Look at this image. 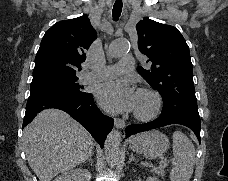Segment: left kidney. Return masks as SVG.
I'll return each instance as SVG.
<instances>
[{
    "mask_svg": "<svg viewBox=\"0 0 228 181\" xmlns=\"http://www.w3.org/2000/svg\"><path fill=\"white\" fill-rule=\"evenodd\" d=\"M147 181H157L156 177H148Z\"/></svg>",
    "mask_w": 228,
    "mask_h": 181,
    "instance_id": "left-kidney-1",
    "label": "left kidney"
}]
</instances>
